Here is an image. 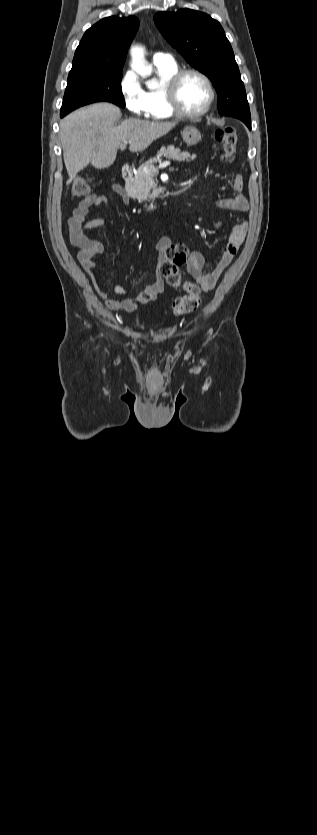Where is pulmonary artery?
I'll list each match as a JSON object with an SVG mask.
<instances>
[{"instance_id":"pulmonary-artery-1","label":"pulmonary artery","mask_w":317,"mask_h":835,"mask_svg":"<svg viewBox=\"0 0 317 835\" xmlns=\"http://www.w3.org/2000/svg\"><path fill=\"white\" fill-rule=\"evenodd\" d=\"M153 63L155 65L162 64V63H170L173 62V58L170 54L157 52L153 55Z\"/></svg>"}]
</instances>
